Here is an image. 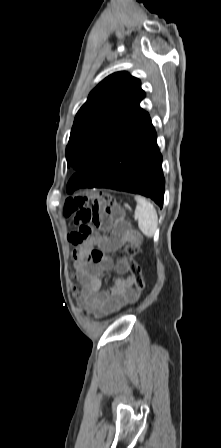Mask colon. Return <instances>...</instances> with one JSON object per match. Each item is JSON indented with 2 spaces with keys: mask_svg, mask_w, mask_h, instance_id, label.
<instances>
[{
  "mask_svg": "<svg viewBox=\"0 0 221 448\" xmlns=\"http://www.w3.org/2000/svg\"><path fill=\"white\" fill-rule=\"evenodd\" d=\"M64 214L67 217H73L75 225L78 226V233L81 239L85 240L92 231V225L100 226L101 224L112 225L119 224L122 221L121 212L116 210L114 198L106 193L99 192L91 196L69 197L64 206ZM132 240L123 248L122 261L127 266L132 275L134 285L138 292L144 289V281L141 268L134 260L141 243V235L136 230H130ZM103 257L100 249L93 248L85 256L86 260L91 263H99ZM80 288H73V295L78 296Z\"/></svg>",
  "mask_w": 221,
  "mask_h": 448,
  "instance_id": "obj_1",
  "label": "colon"
}]
</instances>
